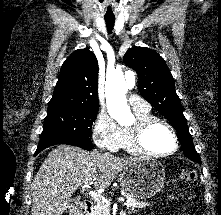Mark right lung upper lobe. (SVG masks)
<instances>
[{
  "label": "right lung upper lobe",
  "mask_w": 221,
  "mask_h": 215,
  "mask_svg": "<svg viewBox=\"0 0 221 215\" xmlns=\"http://www.w3.org/2000/svg\"><path fill=\"white\" fill-rule=\"evenodd\" d=\"M98 61L93 52L79 49L63 63L48 113L70 109L98 110Z\"/></svg>",
  "instance_id": "cb5924a9"
}]
</instances>
